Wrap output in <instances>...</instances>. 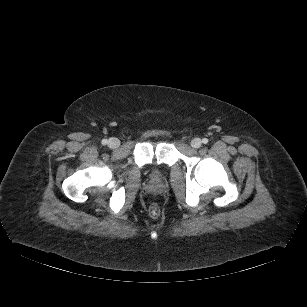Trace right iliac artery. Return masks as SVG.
<instances>
[{
	"label": "right iliac artery",
	"instance_id": "1",
	"mask_svg": "<svg viewBox=\"0 0 307 307\" xmlns=\"http://www.w3.org/2000/svg\"><path fill=\"white\" fill-rule=\"evenodd\" d=\"M107 143H108V140H107V139H103V140H102V144H103V145H106Z\"/></svg>",
	"mask_w": 307,
	"mask_h": 307
}]
</instances>
